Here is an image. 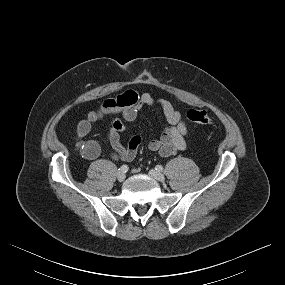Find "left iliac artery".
Segmentation results:
<instances>
[{
  "mask_svg": "<svg viewBox=\"0 0 285 285\" xmlns=\"http://www.w3.org/2000/svg\"><path fill=\"white\" fill-rule=\"evenodd\" d=\"M155 169L159 172L163 171V167L161 165H156Z\"/></svg>",
  "mask_w": 285,
  "mask_h": 285,
  "instance_id": "left-iliac-artery-1",
  "label": "left iliac artery"
}]
</instances>
